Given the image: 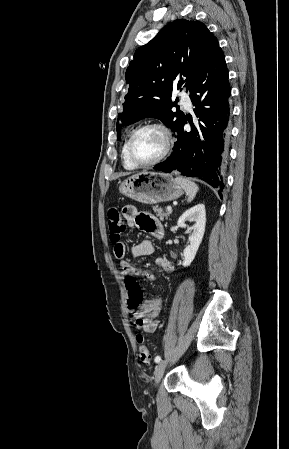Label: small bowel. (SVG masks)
I'll use <instances>...</instances> for the list:
<instances>
[{"mask_svg": "<svg viewBox=\"0 0 289 449\" xmlns=\"http://www.w3.org/2000/svg\"><path fill=\"white\" fill-rule=\"evenodd\" d=\"M124 216L131 227H137L156 238L163 236V228L158 218L148 211H138L133 206L123 209ZM126 245L117 243L114 247V255L119 262L121 275L126 280L128 277L140 276L148 281L155 280V275L150 270L136 268L131 261L125 258ZM130 252L134 257L151 255L154 252V244L146 239L131 247ZM155 264L165 272H173L174 265L164 256L157 255ZM161 309V301L158 298L148 299L141 303L139 309L133 312L135 326L146 333H153L159 326L158 315Z\"/></svg>", "mask_w": 289, "mask_h": 449, "instance_id": "1", "label": "small bowel"}]
</instances>
